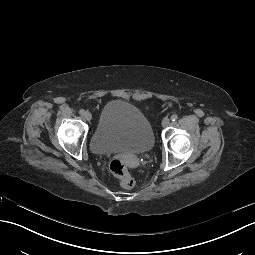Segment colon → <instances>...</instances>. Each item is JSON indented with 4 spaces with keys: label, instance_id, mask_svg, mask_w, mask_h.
Listing matches in <instances>:
<instances>
[{
    "label": "colon",
    "instance_id": "obj_1",
    "mask_svg": "<svg viewBox=\"0 0 255 255\" xmlns=\"http://www.w3.org/2000/svg\"><path fill=\"white\" fill-rule=\"evenodd\" d=\"M111 172L118 178L120 185L125 189H131L135 185L133 176L129 173L126 163L122 159H114L110 163Z\"/></svg>",
    "mask_w": 255,
    "mask_h": 255
}]
</instances>
